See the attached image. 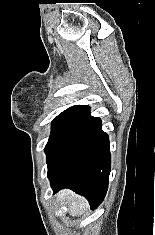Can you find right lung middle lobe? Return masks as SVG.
Here are the masks:
<instances>
[{
    "label": "right lung middle lobe",
    "instance_id": "dd1d6c3e",
    "mask_svg": "<svg viewBox=\"0 0 155 235\" xmlns=\"http://www.w3.org/2000/svg\"><path fill=\"white\" fill-rule=\"evenodd\" d=\"M93 125L90 122L58 115L52 121L51 135L45 146L48 168L75 139L88 131Z\"/></svg>",
    "mask_w": 155,
    "mask_h": 235
}]
</instances>
